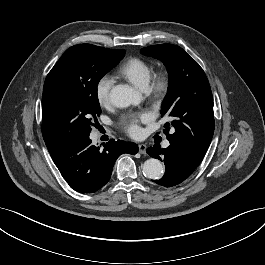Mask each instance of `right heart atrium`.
<instances>
[{
    "instance_id": "right-heart-atrium-1",
    "label": "right heart atrium",
    "mask_w": 265,
    "mask_h": 265,
    "mask_svg": "<svg viewBox=\"0 0 265 265\" xmlns=\"http://www.w3.org/2000/svg\"><path fill=\"white\" fill-rule=\"evenodd\" d=\"M113 79L109 75H102L95 84V96L99 105L105 107L110 104Z\"/></svg>"
}]
</instances>
